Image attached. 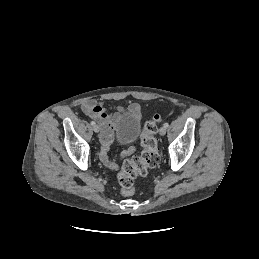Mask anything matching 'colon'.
<instances>
[{"label":"colon","mask_w":259,"mask_h":259,"mask_svg":"<svg viewBox=\"0 0 259 259\" xmlns=\"http://www.w3.org/2000/svg\"><path fill=\"white\" fill-rule=\"evenodd\" d=\"M161 117L158 114L152 116L144 125L141 135V155L134 156L124 161L118 173V183L120 192L125 197H130L135 193L134 180L138 176L147 174L148 169L157 166L160 162L158 145L155 134Z\"/></svg>","instance_id":"5ec220e1"}]
</instances>
